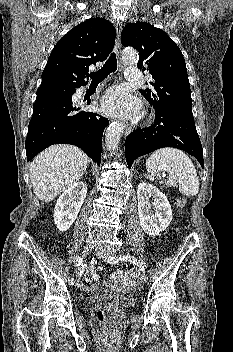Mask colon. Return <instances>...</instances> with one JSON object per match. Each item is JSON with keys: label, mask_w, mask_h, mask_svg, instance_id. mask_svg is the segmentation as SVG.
I'll list each match as a JSON object with an SVG mask.
<instances>
[{"label": "colon", "mask_w": 233, "mask_h": 352, "mask_svg": "<svg viewBox=\"0 0 233 352\" xmlns=\"http://www.w3.org/2000/svg\"><path fill=\"white\" fill-rule=\"evenodd\" d=\"M99 278L98 267L96 265H89L84 272V283L90 285L93 281ZM97 318L100 322H104L107 318V315L104 311H97Z\"/></svg>", "instance_id": "obj_1"}]
</instances>
